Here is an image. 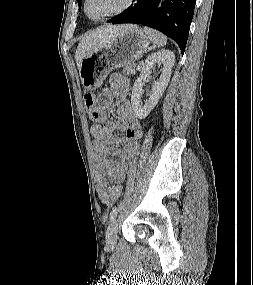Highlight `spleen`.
<instances>
[{
    "label": "spleen",
    "instance_id": "3e777b00",
    "mask_svg": "<svg viewBox=\"0 0 253 285\" xmlns=\"http://www.w3.org/2000/svg\"><path fill=\"white\" fill-rule=\"evenodd\" d=\"M144 32H145V34L148 35V37L150 38V40L153 42V44L155 46L163 47L164 45H166L167 38L162 33L158 32L154 29L148 28V27L144 28Z\"/></svg>",
    "mask_w": 253,
    "mask_h": 285
}]
</instances>
